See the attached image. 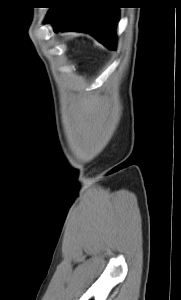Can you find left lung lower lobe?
<instances>
[{"mask_svg":"<svg viewBox=\"0 0 181 300\" xmlns=\"http://www.w3.org/2000/svg\"><path fill=\"white\" fill-rule=\"evenodd\" d=\"M118 8L109 0H62L50 8L45 23L54 31L88 32L111 50H115Z\"/></svg>","mask_w":181,"mask_h":300,"instance_id":"0a47b994","label":"left lung lower lobe"}]
</instances>
